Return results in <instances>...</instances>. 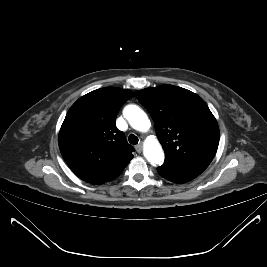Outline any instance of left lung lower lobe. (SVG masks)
Instances as JSON below:
<instances>
[{
	"label": "left lung lower lobe",
	"mask_w": 267,
	"mask_h": 267,
	"mask_svg": "<svg viewBox=\"0 0 267 267\" xmlns=\"http://www.w3.org/2000/svg\"><path fill=\"white\" fill-rule=\"evenodd\" d=\"M157 171L159 175L162 176L163 178L179 184L191 181L192 179L198 176V174H195L191 171L165 163L160 167H158Z\"/></svg>",
	"instance_id": "0a47b994"
}]
</instances>
